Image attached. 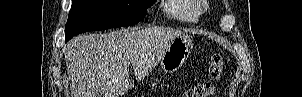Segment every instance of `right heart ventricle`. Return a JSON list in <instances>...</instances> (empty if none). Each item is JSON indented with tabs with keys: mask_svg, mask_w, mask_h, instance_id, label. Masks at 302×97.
<instances>
[{
	"mask_svg": "<svg viewBox=\"0 0 302 97\" xmlns=\"http://www.w3.org/2000/svg\"><path fill=\"white\" fill-rule=\"evenodd\" d=\"M164 12L178 22L190 24L198 20L196 9L189 0H168L164 4Z\"/></svg>",
	"mask_w": 302,
	"mask_h": 97,
	"instance_id": "right-heart-ventricle-1",
	"label": "right heart ventricle"
}]
</instances>
